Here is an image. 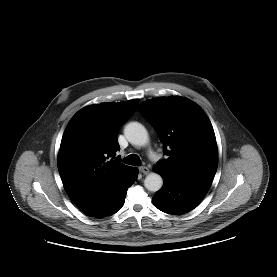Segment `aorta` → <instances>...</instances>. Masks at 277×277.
<instances>
[{
  "label": "aorta",
  "instance_id": "762f6f07",
  "mask_svg": "<svg viewBox=\"0 0 277 277\" xmlns=\"http://www.w3.org/2000/svg\"><path fill=\"white\" fill-rule=\"evenodd\" d=\"M126 139L136 146H145L149 137L146 128L138 122H130L124 128ZM163 185V179L158 173H150L144 180V186L148 191L157 192Z\"/></svg>",
  "mask_w": 277,
  "mask_h": 277
}]
</instances>
